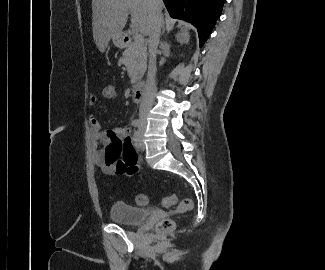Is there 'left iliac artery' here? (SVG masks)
<instances>
[{
    "label": "left iliac artery",
    "mask_w": 325,
    "mask_h": 270,
    "mask_svg": "<svg viewBox=\"0 0 325 270\" xmlns=\"http://www.w3.org/2000/svg\"><path fill=\"white\" fill-rule=\"evenodd\" d=\"M133 141H134L135 146L138 147V144H139V133L137 131L134 132Z\"/></svg>",
    "instance_id": "44dca946"
}]
</instances>
